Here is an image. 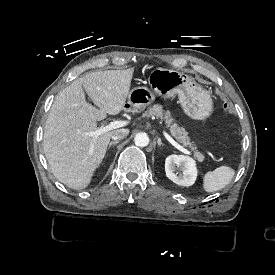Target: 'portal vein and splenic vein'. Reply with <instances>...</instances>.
<instances>
[{"mask_svg": "<svg viewBox=\"0 0 275 275\" xmlns=\"http://www.w3.org/2000/svg\"><path fill=\"white\" fill-rule=\"evenodd\" d=\"M128 125V122L127 121H122V120H119V121H113V122H110L108 125H106L105 127H101L95 131H91V132H86L84 133L85 136H90V137H94V138H97L98 136L106 133V132H109L113 129H117V128H120V127H123V126H126ZM164 133V136L165 138L175 147L177 148L179 151L185 153V154H189V156H192V153H190L187 149H185L183 146H181L179 143H177L168 133L166 132H163Z\"/></svg>", "mask_w": 275, "mask_h": 275, "instance_id": "obj_1", "label": "portal vein and splenic vein"}]
</instances>
